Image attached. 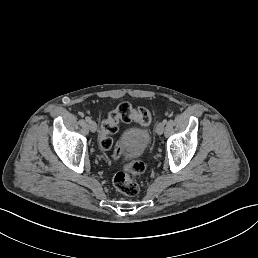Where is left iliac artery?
Segmentation results:
<instances>
[{
    "label": "left iliac artery",
    "mask_w": 258,
    "mask_h": 258,
    "mask_svg": "<svg viewBox=\"0 0 258 258\" xmlns=\"http://www.w3.org/2000/svg\"><path fill=\"white\" fill-rule=\"evenodd\" d=\"M168 120L167 119H164L163 120V124H167Z\"/></svg>",
    "instance_id": "obj_1"
}]
</instances>
